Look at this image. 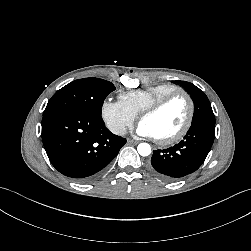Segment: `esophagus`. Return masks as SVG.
Here are the masks:
<instances>
[{"instance_id": "1", "label": "esophagus", "mask_w": 251, "mask_h": 251, "mask_svg": "<svg viewBox=\"0 0 251 251\" xmlns=\"http://www.w3.org/2000/svg\"><path fill=\"white\" fill-rule=\"evenodd\" d=\"M127 142H128L129 144H135V145L139 143V141L133 140V139H127Z\"/></svg>"}]
</instances>
